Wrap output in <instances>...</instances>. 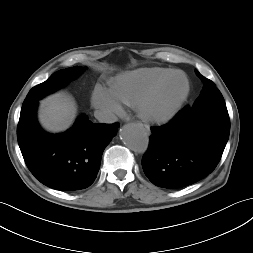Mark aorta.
<instances>
[{"instance_id":"762f6f07","label":"aorta","mask_w":253,"mask_h":253,"mask_svg":"<svg viewBox=\"0 0 253 253\" xmlns=\"http://www.w3.org/2000/svg\"><path fill=\"white\" fill-rule=\"evenodd\" d=\"M122 142L137 153H144L149 145V137L144 128L136 123L126 124L121 132Z\"/></svg>"}]
</instances>
